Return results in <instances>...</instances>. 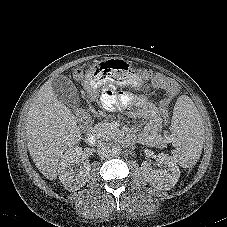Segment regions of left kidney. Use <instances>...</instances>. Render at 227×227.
<instances>
[{
  "label": "left kidney",
  "mask_w": 227,
  "mask_h": 227,
  "mask_svg": "<svg viewBox=\"0 0 227 227\" xmlns=\"http://www.w3.org/2000/svg\"><path fill=\"white\" fill-rule=\"evenodd\" d=\"M157 161L163 165V169H152L143 164L141 170L144 178L153 187L160 190H170L178 182L180 170L176 161L167 154H159Z\"/></svg>",
  "instance_id": "1"
}]
</instances>
